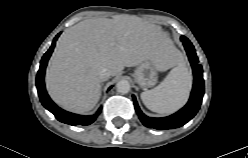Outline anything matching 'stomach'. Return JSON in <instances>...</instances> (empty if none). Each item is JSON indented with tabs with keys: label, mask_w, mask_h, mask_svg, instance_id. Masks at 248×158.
<instances>
[{
	"label": "stomach",
	"mask_w": 248,
	"mask_h": 158,
	"mask_svg": "<svg viewBox=\"0 0 248 158\" xmlns=\"http://www.w3.org/2000/svg\"><path fill=\"white\" fill-rule=\"evenodd\" d=\"M173 64V58L170 55L165 56L159 66L152 61H144L136 68L133 77L142 89L147 90L157 83V72L167 70Z\"/></svg>",
	"instance_id": "1"
}]
</instances>
